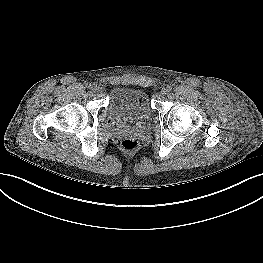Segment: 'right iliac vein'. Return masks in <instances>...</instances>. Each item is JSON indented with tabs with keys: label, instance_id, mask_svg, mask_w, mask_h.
<instances>
[{
	"label": "right iliac vein",
	"instance_id": "1",
	"mask_svg": "<svg viewBox=\"0 0 263 263\" xmlns=\"http://www.w3.org/2000/svg\"><path fill=\"white\" fill-rule=\"evenodd\" d=\"M92 90H93L94 92H98V91H99V87H98V86H94V87H92Z\"/></svg>",
	"mask_w": 263,
	"mask_h": 263
}]
</instances>
